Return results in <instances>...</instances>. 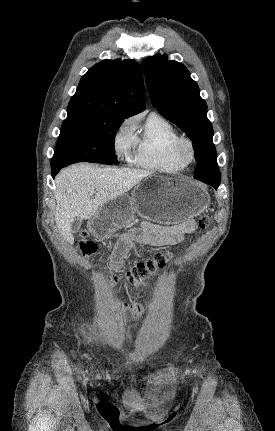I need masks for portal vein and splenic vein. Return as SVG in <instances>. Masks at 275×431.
Wrapping results in <instances>:
<instances>
[{
    "label": "portal vein and splenic vein",
    "instance_id": "1",
    "mask_svg": "<svg viewBox=\"0 0 275 431\" xmlns=\"http://www.w3.org/2000/svg\"><path fill=\"white\" fill-rule=\"evenodd\" d=\"M95 194V191H90V195H94Z\"/></svg>",
    "mask_w": 275,
    "mask_h": 431
}]
</instances>
